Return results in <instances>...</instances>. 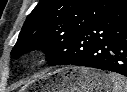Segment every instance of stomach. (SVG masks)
Wrapping results in <instances>:
<instances>
[{"instance_id":"obj_1","label":"stomach","mask_w":127,"mask_h":92,"mask_svg":"<svg viewBox=\"0 0 127 92\" xmlns=\"http://www.w3.org/2000/svg\"><path fill=\"white\" fill-rule=\"evenodd\" d=\"M42 92H110L112 82L104 72L67 66L43 77Z\"/></svg>"}]
</instances>
